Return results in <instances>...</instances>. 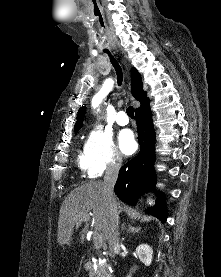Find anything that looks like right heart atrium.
Instances as JSON below:
<instances>
[{
	"instance_id": "right-heart-atrium-1",
	"label": "right heart atrium",
	"mask_w": 221,
	"mask_h": 277,
	"mask_svg": "<svg viewBox=\"0 0 221 277\" xmlns=\"http://www.w3.org/2000/svg\"><path fill=\"white\" fill-rule=\"evenodd\" d=\"M84 157L90 177L117 171L122 165L111 134L101 126H95L90 131L84 147Z\"/></svg>"
}]
</instances>
